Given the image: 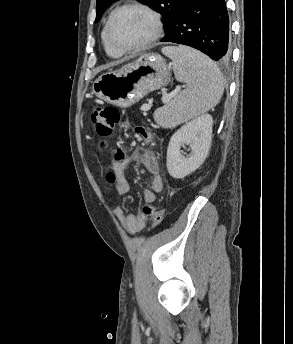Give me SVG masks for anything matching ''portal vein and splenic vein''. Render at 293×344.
Returning <instances> with one entry per match:
<instances>
[{"label":"portal vein and splenic vein","mask_w":293,"mask_h":344,"mask_svg":"<svg viewBox=\"0 0 293 344\" xmlns=\"http://www.w3.org/2000/svg\"><path fill=\"white\" fill-rule=\"evenodd\" d=\"M180 87H177L174 91H172L171 93L169 94H166V95H163L162 96V101L163 102H167L169 101L173 96H175L179 91H180Z\"/></svg>","instance_id":"18ae733b"}]
</instances>
